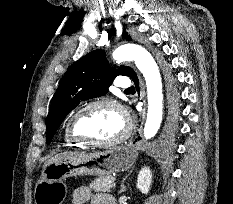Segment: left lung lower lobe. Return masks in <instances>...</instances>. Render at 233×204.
<instances>
[{"instance_id": "1", "label": "left lung lower lobe", "mask_w": 233, "mask_h": 204, "mask_svg": "<svg viewBox=\"0 0 233 204\" xmlns=\"http://www.w3.org/2000/svg\"><path fill=\"white\" fill-rule=\"evenodd\" d=\"M131 78H132V80L134 81L135 87H136L137 90H138L139 80H138V78H137V75H136V74H133ZM138 139L140 140V138H138Z\"/></svg>"}]
</instances>
